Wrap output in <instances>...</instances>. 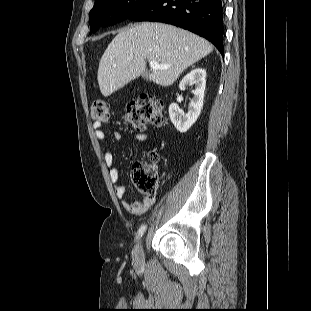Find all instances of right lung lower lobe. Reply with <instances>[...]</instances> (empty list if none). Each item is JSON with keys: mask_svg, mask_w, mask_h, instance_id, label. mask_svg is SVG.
Returning a JSON list of instances; mask_svg holds the SVG:
<instances>
[{"mask_svg": "<svg viewBox=\"0 0 311 311\" xmlns=\"http://www.w3.org/2000/svg\"><path fill=\"white\" fill-rule=\"evenodd\" d=\"M172 24L209 40L224 56L222 0H156L129 18Z\"/></svg>", "mask_w": 311, "mask_h": 311, "instance_id": "right-lung-lower-lobe-1", "label": "right lung lower lobe"}]
</instances>
